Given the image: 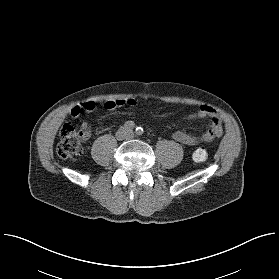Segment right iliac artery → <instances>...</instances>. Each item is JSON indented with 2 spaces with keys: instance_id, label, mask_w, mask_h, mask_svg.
Instances as JSON below:
<instances>
[{
  "instance_id": "right-iliac-artery-1",
  "label": "right iliac artery",
  "mask_w": 279,
  "mask_h": 279,
  "mask_svg": "<svg viewBox=\"0 0 279 279\" xmlns=\"http://www.w3.org/2000/svg\"><path fill=\"white\" fill-rule=\"evenodd\" d=\"M133 128H134V124H133L132 121H127L124 124V129L127 130V131H131Z\"/></svg>"
}]
</instances>
